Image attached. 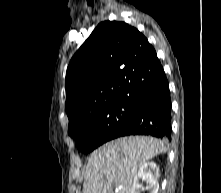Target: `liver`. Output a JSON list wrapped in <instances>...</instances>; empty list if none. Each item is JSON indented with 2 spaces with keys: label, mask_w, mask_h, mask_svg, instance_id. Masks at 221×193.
<instances>
[{
  "label": "liver",
  "mask_w": 221,
  "mask_h": 193,
  "mask_svg": "<svg viewBox=\"0 0 221 193\" xmlns=\"http://www.w3.org/2000/svg\"><path fill=\"white\" fill-rule=\"evenodd\" d=\"M166 151L163 141L148 136L123 137L102 145L88 159L83 193H130L139 167Z\"/></svg>",
  "instance_id": "1"
}]
</instances>
